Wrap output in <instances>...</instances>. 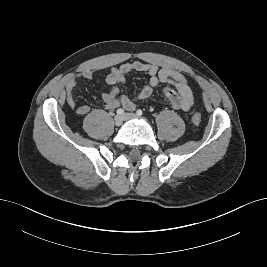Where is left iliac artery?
Segmentation results:
<instances>
[{
  "label": "left iliac artery",
  "instance_id": "1",
  "mask_svg": "<svg viewBox=\"0 0 267 267\" xmlns=\"http://www.w3.org/2000/svg\"><path fill=\"white\" fill-rule=\"evenodd\" d=\"M136 114L138 115V116H141L142 114H143V112H142V110H137V112H136Z\"/></svg>",
  "mask_w": 267,
  "mask_h": 267
}]
</instances>
